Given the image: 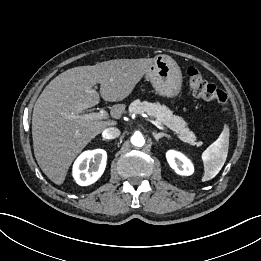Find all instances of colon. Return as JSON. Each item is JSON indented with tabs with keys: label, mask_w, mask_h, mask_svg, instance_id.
<instances>
[{
	"label": "colon",
	"mask_w": 261,
	"mask_h": 261,
	"mask_svg": "<svg viewBox=\"0 0 261 261\" xmlns=\"http://www.w3.org/2000/svg\"><path fill=\"white\" fill-rule=\"evenodd\" d=\"M187 75L194 96L206 101L217 102L222 106L224 113L230 112L227 95L214 84L208 82L198 68L190 66L187 69Z\"/></svg>",
	"instance_id": "colon-1"
}]
</instances>
